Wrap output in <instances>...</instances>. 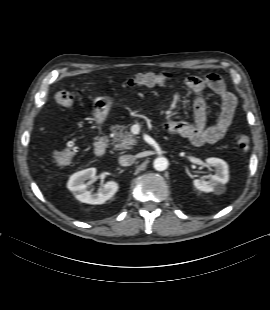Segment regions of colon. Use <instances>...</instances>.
I'll list each match as a JSON object with an SVG mask.
<instances>
[{"mask_svg":"<svg viewBox=\"0 0 270 310\" xmlns=\"http://www.w3.org/2000/svg\"><path fill=\"white\" fill-rule=\"evenodd\" d=\"M170 80L168 73H141L133 78L125 81V86H153L164 85ZM80 97V93L67 90L59 91L55 94L56 103L63 108H70L75 105ZM250 136L247 134H239L236 137V144L239 149L246 151L250 146ZM79 148L75 140H68L65 145L53 153V159L58 165H67L78 155Z\"/></svg>","mask_w":270,"mask_h":310,"instance_id":"1","label":"colon"}]
</instances>
